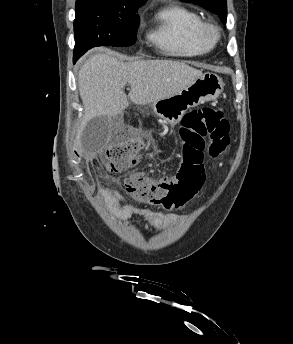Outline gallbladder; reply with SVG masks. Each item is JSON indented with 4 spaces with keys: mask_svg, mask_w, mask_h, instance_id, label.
<instances>
[{
    "mask_svg": "<svg viewBox=\"0 0 293 344\" xmlns=\"http://www.w3.org/2000/svg\"><path fill=\"white\" fill-rule=\"evenodd\" d=\"M110 120L107 116H97L89 120L81 135V144L86 153L98 152L109 137Z\"/></svg>",
    "mask_w": 293,
    "mask_h": 344,
    "instance_id": "bac80fb5",
    "label": "gallbladder"
}]
</instances>
